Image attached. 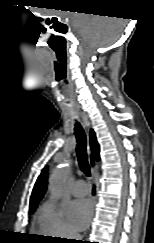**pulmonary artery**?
<instances>
[{"label":"pulmonary artery","mask_w":154,"mask_h":243,"mask_svg":"<svg viewBox=\"0 0 154 243\" xmlns=\"http://www.w3.org/2000/svg\"><path fill=\"white\" fill-rule=\"evenodd\" d=\"M88 193V186L84 180H77L72 188L74 196H83Z\"/></svg>","instance_id":"1"}]
</instances>
